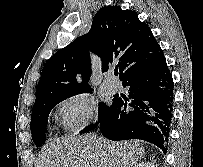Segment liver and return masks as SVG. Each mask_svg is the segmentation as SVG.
I'll return each instance as SVG.
<instances>
[{"mask_svg": "<svg viewBox=\"0 0 203 167\" xmlns=\"http://www.w3.org/2000/svg\"><path fill=\"white\" fill-rule=\"evenodd\" d=\"M144 153L136 140L113 142L91 135L72 136L47 145L35 167H134Z\"/></svg>", "mask_w": 203, "mask_h": 167, "instance_id": "6515ba94", "label": "liver"}]
</instances>
